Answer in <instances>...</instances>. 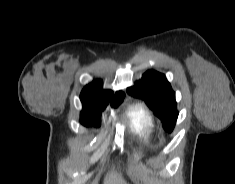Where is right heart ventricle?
I'll list each match as a JSON object with an SVG mask.
<instances>
[{
	"label": "right heart ventricle",
	"mask_w": 235,
	"mask_h": 184,
	"mask_svg": "<svg viewBox=\"0 0 235 184\" xmlns=\"http://www.w3.org/2000/svg\"><path fill=\"white\" fill-rule=\"evenodd\" d=\"M129 132L149 144L156 137V123L150 109L143 103H134L127 107L122 115Z\"/></svg>",
	"instance_id": "right-heart-ventricle-1"
}]
</instances>
